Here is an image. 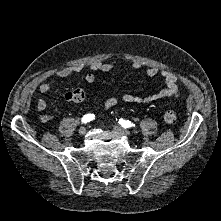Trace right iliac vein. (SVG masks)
<instances>
[{
    "label": "right iliac vein",
    "mask_w": 221,
    "mask_h": 221,
    "mask_svg": "<svg viewBox=\"0 0 221 221\" xmlns=\"http://www.w3.org/2000/svg\"><path fill=\"white\" fill-rule=\"evenodd\" d=\"M79 134L80 135H85L86 134V128L85 127H81L80 129H79Z\"/></svg>",
    "instance_id": "1"
}]
</instances>
